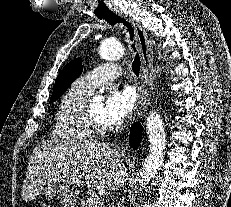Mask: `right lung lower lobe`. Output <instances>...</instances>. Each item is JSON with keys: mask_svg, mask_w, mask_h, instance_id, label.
Segmentation results:
<instances>
[{"mask_svg": "<svg viewBox=\"0 0 231 207\" xmlns=\"http://www.w3.org/2000/svg\"><path fill=\"white\" fill-rule=\"evenodd\" d=\"M142 133V127L139 123H135L131 127V133H130V144H132L133 148H137V146L140 143Z\"/></svg>", "mask_w": 231, "mask_h": 207, "instance_id": "98d812e1", "label": "right lung lower lobe"}]
</instances>
